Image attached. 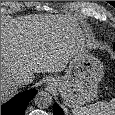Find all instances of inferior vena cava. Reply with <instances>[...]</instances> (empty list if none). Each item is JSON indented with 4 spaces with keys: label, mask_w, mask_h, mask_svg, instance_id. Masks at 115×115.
Wrapping results in <instances>:
<instances>
[{
    "label": "inferior vena cava",
    "mask_w": 115,
    "mask_h": 115,
    "mask_svg": "<svg viewBox=\"0 0 115 115\" xmlns=\"http://www.w3.org/2000/svg\"><path fill=\"white\" fill-rule=\"evenodd\" d=\"M27 79L26 77L24 76H20V77H17L14 81V84L17 86V87H23L25 84H27Z\"/></svg>",
    "instance_id": "602c4592"
}]
</instances>
